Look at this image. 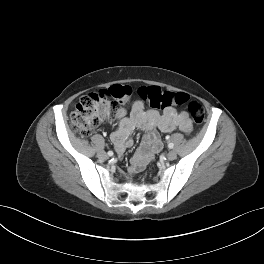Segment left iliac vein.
I'll return each mask as SVG.
<instances>
[{"label": "left iliac vein", "instance_id": "1", "mask_svg": "<svg viewBox=\"0 0 264 264\" xmlns=\"http://www.w3.org/2000/svg\"><path fill=\"white\" fill-rule=\"evenodd\" d=\"M166 157H167V160L172 161V160H174L177 157V153H176L175 150H171V151L168 152Z\"/></svg>", "mask_w": 264, "mask_h": 264}]
</instances>
